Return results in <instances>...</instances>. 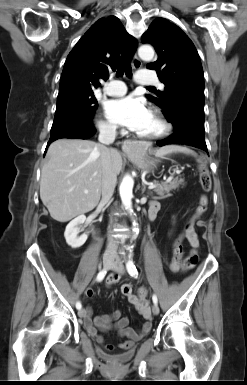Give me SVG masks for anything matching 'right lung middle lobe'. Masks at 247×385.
Wrapping results in <instances>:
<instances>
[{"label":"right lung middle lobe","mask_w":247,"mask_h":385,"mask_svg":"<svg viewBox=\"0 0 247 385\" xmlns=\"http://www.w3.org/2000/svg\"><path fill=\"white\" fill-rule=\"evenodd\" d=\"M97 106L98 102L93 91L69 90L59 92L52 126L76 118L92 120Z\"/></svg>","instance_id":"obj_1"}]
</instances>
